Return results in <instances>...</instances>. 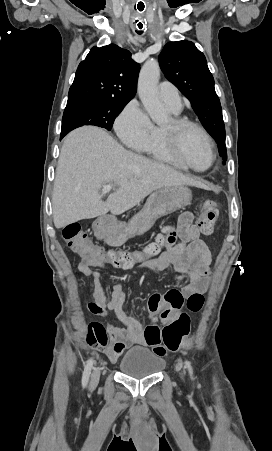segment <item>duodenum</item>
I'll return each instance as SVG.
<instances>
[{
	"label": "duodenum",
	"instance_id": "410a0bca",
	"mask_svg": "<svg viewBox=\"0 0 272 451\" xmlns=\"http://www.w3.org/2000/svg\"><path fill=\"white\" fill-rule=\"evenodd\" d=\"M94 229L99 237L104 238L107 236L106 223L103 220H98L95 223Z\"/></svg>",
	"mask_w": 272,
	"mask_h": 451
}]
</instances>
